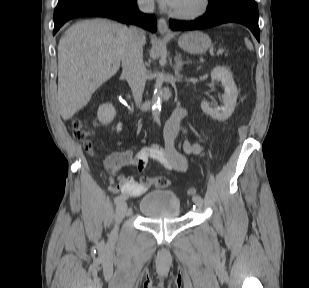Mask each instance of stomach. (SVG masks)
Returning a JSON list of instances; mask_svg holds the SVG:
<instances>
[{
	"instance_id": "0dacf381",
	"label": "stomach",
	"mask_w": 309,
	"mask_h": 288,
	"mask_svg": "<svg viewBox=\"0 0 309 288\" xmlns=\"http://www.w3.org/2000/svg\"><path fill=\"white\" fill-rule=\"evenodd\" d=\"M178 44L189 53H203L211 47V39L201 31H191L181 35Z\"/></svg>"
}]
</instances>
